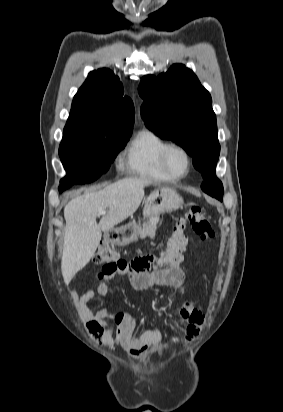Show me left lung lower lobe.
<instances>
[{"label": "left lung lower lobe", "instance_id": "1", "mask_svg": "<svg viewBox=\"0 0 283 412\" xmlns=\"http://www.w3.org/2000/svg\"><path fill=\"white\" fill-rule=\"evenodd\" d=\"M213 179H214V180H219V179L216 177L215 174L213 175ZM204 189H205V186H204V183H203V184H202V190L204 191Z\"/></svg>", "mask_w": 283, "mask_h": 412}]
</instances>
